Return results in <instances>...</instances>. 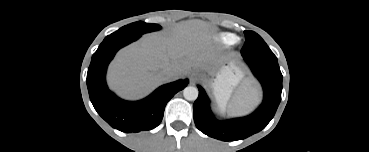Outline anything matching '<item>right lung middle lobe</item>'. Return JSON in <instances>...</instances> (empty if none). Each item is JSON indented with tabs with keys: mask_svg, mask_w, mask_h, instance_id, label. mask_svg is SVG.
I'll list each match as a JSON object with an SVG mask.
<instances>
[{
	"mask_svg": "<svg viewBox=\"0 0 369 152\" xmlns=\"http://www.w3.org/2000/svg\"><path fill=\"white\" fill-rule=\"evenodd\" d=\"M159 29H161V26L158 24H147L145 22L138 21V22L126 25L114 33H128L132 35L141 36L144 33L157 31Z\"/></svg>",
	"mask_w": 369,
	"mask_h": 152,
	"instance_id": "1",
	"label": "right lung middle lobe"
}]
</instances>
